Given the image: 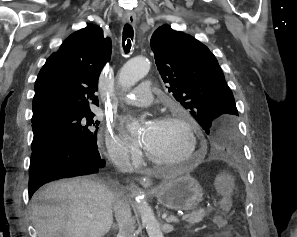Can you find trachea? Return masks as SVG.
<instances>
[{"mask_svg": "<svg viewBox=\"0 0 297 237\" xmlns=\"http://www.w3.org/2000/svg\"><path fill=\"white\" fill-rule=\"evenodd\" d=\"M134 31L130 24H125L122 35V46L125 53H129L131 49V41H133Z\"/></svg>", "mask_w": 297, "mask_h": 237, "instance_id": "obj_1", "label": "trachea"}]
</instances>
